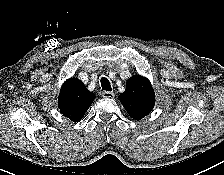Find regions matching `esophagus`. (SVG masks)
Segmentation results:
<instances>
[{"label": "esophagus", "instance_id": "1", "mask_svg": "<svg viewBox=\"0 0 224 175\" xmlns=\"http://www.w3.org/2000/svg\"><path fill=\"white\" fill-rule=\"evenodd\" d=\"M114 96H115L114 92L104 91L102 93V97L104 98H114Z\"/></svg>", "mask_w": 224, "mask_h": 175}]
</instances>
